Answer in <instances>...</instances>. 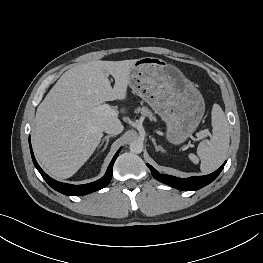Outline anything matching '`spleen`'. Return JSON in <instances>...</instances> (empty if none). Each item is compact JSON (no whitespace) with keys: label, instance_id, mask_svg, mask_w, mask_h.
Segmentation results:
<instances>
[{"label":"spleen","instance_id":"obj_1","mask_svg":"<svg viewBox=\"0 0 263 263\" xmlns=\"http://www.w3.org/2000/svg\"><path fill=\"white\" fill-rule=\"evenodd\" d=\"M212 136L210 140L199 143L197 155L189 154V159L197 164L201 161L202 173L215 171L224 162L230 143L229 124L225 113L218 104H214L211 112Z\"/></svg>","mask_w":263,"mask_h":263}]
</instances>
